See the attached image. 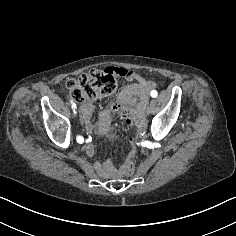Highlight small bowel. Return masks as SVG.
<instances>
[{"label":"small bowel","mask_w":236,"mask_h":236,"mask_svg":"<svg viewBox=\"0 0 236 236\" xmlns=\"http://www.w3.org/2000/svg\"><path fill=\"white\" fill-rule=\"evenodd\" d=\"M124 69V68H123ZM124 76L133 83L124 87L114 100L108 103L107 107L99 114L98 122L94 127L91 123V115L94 109L92 103L84 102L80 106V116L84 124L86 132L90 135L95 132L99 136L111 137V117L113 113H119L129 126L137 129L142 134L146 127L145 121V105L147 102L150 89L153 83L144 80L138 72L127 70ZM134 144H138L137 140H133ZM85 152L91 156L95 152V148L91 143V139L87 140ZM94 168L96 172L103 177H118L122 168L117 169L111 162L101 164L95 162Z\"/></svg>","instance_id":"obj_1"}]
</instances>
